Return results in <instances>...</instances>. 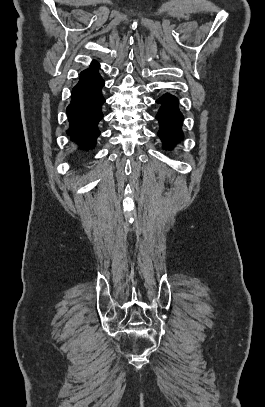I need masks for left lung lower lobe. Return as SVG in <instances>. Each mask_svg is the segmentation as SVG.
Segmentation results:
<instances>
[{
    "mask_svg": "<svg viewBox=\"0 0 265 407\" xmlns=\"http://www.w3.org/2000/svg\"><path fill=\"white\" fill-rule=\"evenodd\" d=\"M156 103L161 105L156 115L160 125L158 136L163 142L164 149H172L183 138L181 130L183 115L178 108V99L166 93L157 99Z\"/></svg>",
    "mask_w": 265,
    "mask_h": 407,
    "instance_id": "left-lung-lower-lobe-1",
    "label": "left lung lower lobe"
}]
</instances>
